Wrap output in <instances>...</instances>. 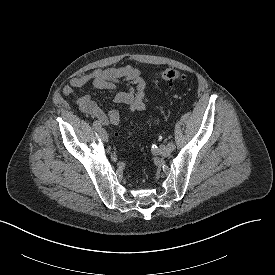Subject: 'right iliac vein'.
Listing matches in <instances>:
<instances>
[{"label": "right iliac vein", "instance_id": "right-iliac-vein-1", "mask_svg": "<svg viewBox=\"0 0 275 275\" xmlns=\"http://www.w3.org/2000/svg\"><path fill=\"white\" fill-rule=\"evenodd\" d=\"M98 134H99V136L101 137V139H102L103 141H105V142L108 141L107 132H106L103 128H100V129L98 130Z\"/></svg>", "mask_w": 275, "mask_h": 275}]
</instances>
